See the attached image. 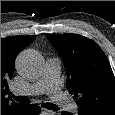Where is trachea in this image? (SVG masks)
Wrapping results in <instances>:
<instances>
[{"label": "trachea", "mask_w": 115, "mask_h": 115, "mask_svg": "<svg viewBox=\"0 0 115 115\" xmlns=\"http://www.w3.org/2000/svg\"><path fill=\"white\" fill-rule=\"evenodd\" d=\"M12 97L17 101V102H20V103H25V104H28L30 103V100L28 97L26 96H14L12 95ZM42 107L46 108V109H49V110H54V111H57L59 110L60 108L53 104V103H42Z\"/></svg>", "instance_id": "1"}]
</instances>
